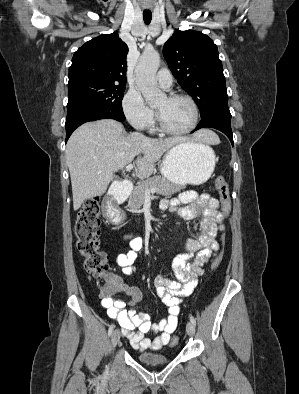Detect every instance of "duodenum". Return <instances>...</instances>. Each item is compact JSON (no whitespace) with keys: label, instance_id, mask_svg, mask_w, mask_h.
<instances>
[{"label":"duodenum","instance_id":"obj_1","mask_svg":"<svg viewBox=\"0 0 299 394\" xmlns=\"http://www.w3.org/2000/svg\"><path fill=\"white\" fill-rule=\"evenodd\" d=\"M131 189L132 187L130 185L124 184L120 187L112 189L108 193L103 205L104 216L107 220H117L118 205L126 200L127 194L131 191Z\"/></svg>","mask_w":299,"mask_h":394}]
</instances>
